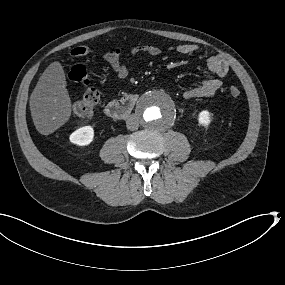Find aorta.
<instances>
[{
  "label": "aorta",
  "mask_w": 285,
  "mask_h": 285,
  "mask_svg": "<svg viewBox=\"0 0 285 285\" xmlns=\"http://www.w3.org/2000/svg\"><path fill=\"white\" fill-rule=\"evenodd\" d=\"M137 117L140 123L150 130H163L169 127L176 117V104L173 98L163 91H150L144 94L137 104Z\"/></svg>",
  "instance_id": "aorta-1"
}]
</instances>
